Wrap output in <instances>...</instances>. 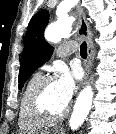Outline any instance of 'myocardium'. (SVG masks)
I'll use <instances>...</instances> for the list:
<instances>
[{
  "label": "myocardium",
  "mask_w": 116,
  "mask_h": 134,
  "mask_svg": "<svg viewBox=\"0 0 116 134\" xmlns=\"http://www.w3.org/2000/svg\"><path fill=\"white\" fill-rule=\"evenodd\" d=\"M55 82L53 76H44L32 89L28 105L31 113L38 119L46 122H55L65 118L70 111V107L67 105L66 108L61 112H54L49 108L46 102V94L51 83Z\"/></svg>",
  "instance_id": "obj_1"
}]
</instances>
